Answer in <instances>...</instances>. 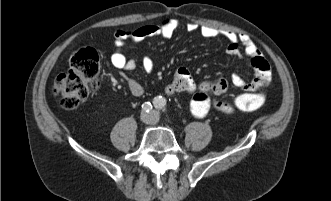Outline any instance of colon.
Segmentation results:
<instances>
[{"instance_id": "obj_1", "label": "colon", "mask_w": 331, "mask_h": 201, "mask_svg": "<svg viewBox=\"0 0 331 201\" xmlns=\"http://www.w3.org/2000/svg\"><path fill=\"white\" fill-rule=\"evenodd\" d=\"M100 63L98 53L90 47L75 53L67 71L57 76L52 91L65 109H74L99 88ZM266 101L263 92L245 93L231 102L237 111L250 112L261 108Z\"/></svg>"}]
</instances>
